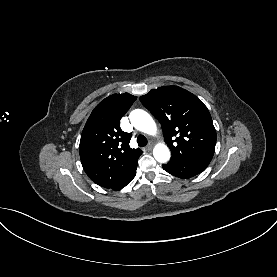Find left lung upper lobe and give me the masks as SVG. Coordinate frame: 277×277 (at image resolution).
Instances as JSON below:
<instances>
[{
    "label": "left lung upper lobe",
    "instance_id": "5c2ea615",
    "mask_svg": "<svg viewBox=\"0 0 277 277\" xmlns=\"http://www.w3.org/2000/svg\"><path fill=\"white\" fill-rule=\"evenodd\" d=\"M162 125L164 140L173 158L211 161L216 131L203 102L177 86L152 89L140 97Z\"/></svg>",
    "mask_w": 277,
    "mask_h": 277
}]
</instances>
